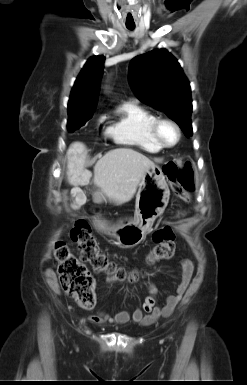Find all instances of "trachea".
<instances>
[{
    "label": "trachea",
    "mask_w": 247,
    "mask_h": 385,
    "mask_svg": "<svg viewBox=\"0 0 247 385\" xmlns=\"http://www.w3.org/2000/svg\"><path fill=\"white\" fill-rule=\"evenodd\" d=\"M129 30H133L134 26H126Z\"/></svg>",
    "instance_id": "1"
}]
</instances>
